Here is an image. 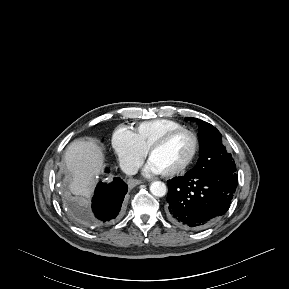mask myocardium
I'll use <instances>...</instances> for the list:
<instances>
[{
    "label": "myocardium",
    "mask_w": 289,
    "mask_h": 289,
    "mask_svg": "<svg viewBox=\"0 0 289 289\" xmlns=\"http://www.w3.org/2000/svg\"><path fill=\"white\" fill-rule=\"evenodd\" d=\"M181 134H188L192 137L193 150L189 158L181 166L169 172L161 173V175L164 177H174V176L180 175L184 173L193 164L194 160L196 159L198 155L199 148H200V140H199L198 135L194 131L187 129V128L176 129V130L168 132L167 134L162 136L160 139H158L156 142H154L146 152L147 159L150 160L153 153L163 148L173 138Z\"/></svg>",
    "instance_id": "1"
}]
</instances>
